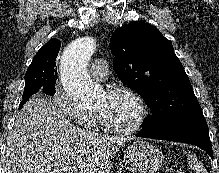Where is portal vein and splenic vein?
I'll return each mask as SVG.
<instances>
[{
    "label": "portal vein and splenic vein",
    "mask_w": 219,
    "mask_h": 173,
    "mask_svg": "<svg viewBox=\"0 0 219 173\" xmlns=\"http://www.w3.org/2000/svg\"><path fill=\"white\" fill-rule=\"evenodd\" d=\"M64 172L67 173L68 170H66V169H63V170L54 169V171H53V173H64ZM68 173H70V171Z\"/></svg>",
    "instance_id": "18ae733b"
}]
</instances>
